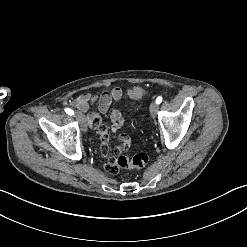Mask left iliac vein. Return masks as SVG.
<instances>
[{"instance_id":"1","label":"left iliac vein","mask_w":247,"mask_h":247,"mask_svg":"<svg viewBox=\"0 0 247 247\" xmlns=\"http://www.w3.org/2000/svg\"><path fill=\"white\" fill-rule=\"evenodd\" d=\"M149 110L152 118H155L157 115V104L154 101L150 103Z\"/></svg>"}]
</instances>
